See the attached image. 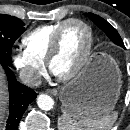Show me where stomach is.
<instances>
[{
  "label": "stomach",
  "instance_id": "stomach-1",
  "mask_svg": "<svg viewBox=\"0 0 130 130\" xmlns=\"http://www.w3.org/2000/svg\"><path fill=\"white\" fill-rule=\"evenodd\" d=\"M121 85L117 62L96 53L82 73L60 91L62 111L74 119H99L114 109Z\"/></svg>",
  "mask_w": 130,
  "mask_h": 130
}]
</instances>
